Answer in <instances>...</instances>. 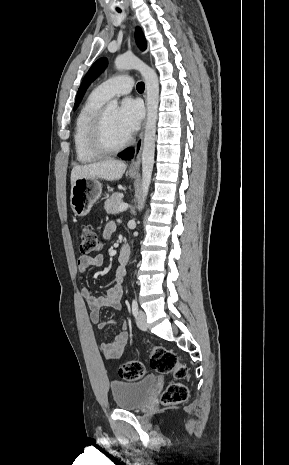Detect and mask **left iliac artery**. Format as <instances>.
I'll list each match as a JSON object with an SVG mask.
<instances>
[{
  "mask_svg": "<svg viewBox=\"0 0 289 465\" xmlns=\"http://www.w3.org/2000/svg\"><path fill=\"white\" fill-rule=\"evenodd\" d=\"M132 313L134 316H137V313H138V303L136 301V299H133L132 300Z\"/></svg>",
  "mask_w": 289,
  "mask_h": 465,
  "instance_id": "44dca946",
  "label": "left iliac artery"
}]
</instances>
